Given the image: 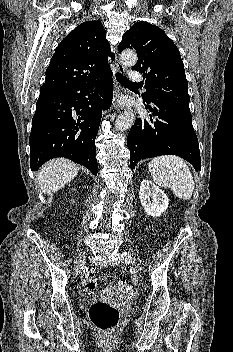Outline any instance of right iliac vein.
I'll return each instance as SVG.
<instances>
[{
	"mask_svg": "<svg viewBox=\"0 0 233 352\" xmlns=\"http://www.w3.org/2000/svg\"><path fill=\"white\" fill-rule=\"evenodd\" d=\"M86 259V253L81 252L76 258V274L80 275L82 273V266L84 265Z\"/></svg>",
	"mask_w": 233,
	"mask_h": 352,
	"instance_id": "obj_1",
	"label": "right iliac vein"
}]
</instances>
